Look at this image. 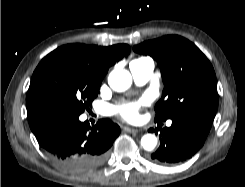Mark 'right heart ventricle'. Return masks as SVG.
<instances>
[{"instance_id": "obj_1", "label": "right heart ventricle", "mask_w": 245, "mask_h": 187, "mask_svg": "<svg viewBox=\"0 0 245 187\" xmlns=\"http://www.w3.org/2000/svg\"><path fill=\"white\" fill-rule=\"evenodd\" d=\"M144 58H145V57L138 58V59H136V60H134V61H132V62H136V61H139V60L144 59Z\"/></svg>"}]
</instances>
